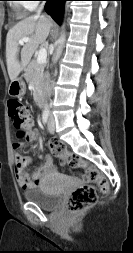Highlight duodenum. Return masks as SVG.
Segmentation results:
<instances>
[{"label":"duodenum","instance_id":"410a0bca","mask_svg":"<svg viewBox=\"0 0 133 253\" xmlns=\"http://www.w3.org/2000/svg\"><path fill=\"white\" fill-rule=\"evenodd\" d=\"M43 92H44V86L43 85H38L37 86V91H36V100L39 102L40 106L42 105L41 101L43 100V97H44Z\"/></svg>","mask_w":133,"mask_h":253}]
</instances>
